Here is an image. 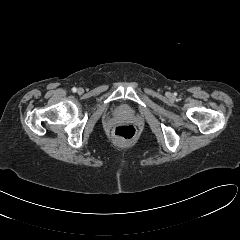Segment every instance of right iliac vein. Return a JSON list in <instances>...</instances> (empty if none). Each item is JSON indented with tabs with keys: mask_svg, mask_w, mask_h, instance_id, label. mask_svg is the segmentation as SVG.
<instances>
[{
	"mask_svg": "<svg viewBox=\"0 0 240 240\" xmlns=\"http://www.w3.org/2000/svg\"><path fill=\"white\" fill-rule=\"evenodd\" d=\"M83 92V89L82 88H79L78 89V93L81 94Z\"/></svg>",
	"mask_w": 240,
	"mask_h": 240,
	"instance_id": "63e3f726",
	"label": "right iliac vein"
}]
</instances>
